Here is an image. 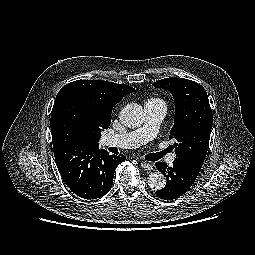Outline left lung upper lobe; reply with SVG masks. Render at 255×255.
Returning a JSON list of instances; mask_svg holds the SVG:
<instances>
[{"label":"left lung upper lobe","instance_id":"left-lung-upper-lobe-1","mask_svg":"<svg viewBox=\"0 0 255 255\" xmlns=\"http://www.w3.org/2000/svg\"><path fill=\"white\" fill-rule=\"evenodd\" d=\"M170 91L175 102L174 125L169 139H174L176 159L201 168L205 159L213 115L205 89L192 80L170 77L153 83Z\"/></svg>","mask_w":255,"mask_h":255}]
</instances>
